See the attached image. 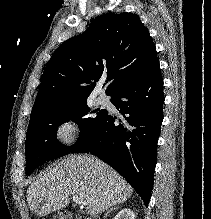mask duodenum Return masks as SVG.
<instances>
[{
	"label": "duodenum",
	"instance_id": "410a0bca",
	"mask_svg": "<svg viewBox=\"0 0 211 219\" xmlns=\"http://www.w3.org/2000/svg\"><path fill=\"white\" fill-rule=\"evenodd\" d=\"M79 218H80V217H79ZM81 219H93V218H89V217H86V218L84 217V218H83V217H82Z\"/></svg>",
	"mask_w": 211,
	"mask_h": 219
}]
</instances>
